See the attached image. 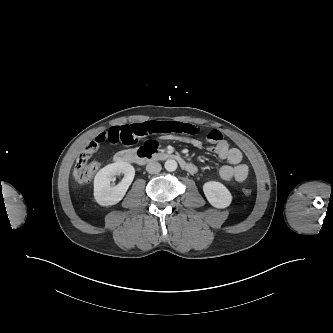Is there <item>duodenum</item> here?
<instances>
[{"label": "duodenum", "mask_w": 333, "mask_h": 333, "mask_svg": "<svg viewBox=\"0 0 333 333\" xmlns=\"http://www.w3.org/2000/svg\"><path fill=\"white\" fill-rule=\"evenodd\" d=\"M166 160H174L178 162L180 166L186 171H190L192 168L190 163H188L184 158H182V156L176 153H162L147 150L127 149L121 151L117 156V161L119 162L135 163L140 165H144L149 162Z\"/></svg>", "instance_id": "410a0bca"}]
</instances>
